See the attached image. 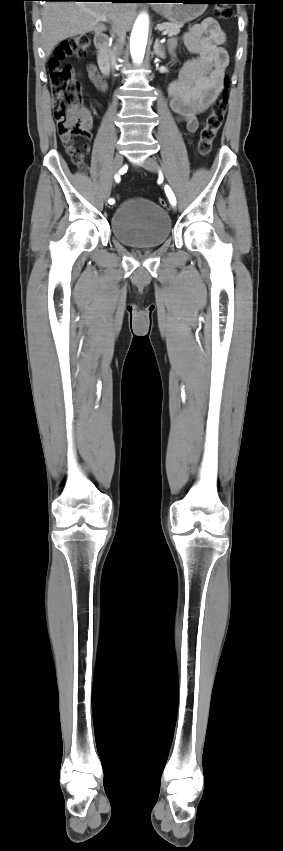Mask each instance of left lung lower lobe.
Returning <instances> with one entry per match:
<instances>
[{
    "instance_id": "left-lung-lower-lobe-1",
    "label": "left lung lower lobe",
    "mask_w": 283,
    "mask_h": 851,
    "mask_svg": "<svg viewBox=\"0 0 283 851\" xmlns=\"http://www.w3.org/2000/svg\"><path fill=\"white\" fill-rule=\"evenodd\" d=\"M238 1L239 0H226L224 2V1H221V0H215V1H209L208 3H219V4L220 3H230V4H234V3H238Z\"/></svg>"
}]
</instances>
